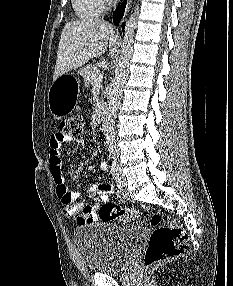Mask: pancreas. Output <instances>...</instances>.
Here are the masks:
<instances>
[{"instance_id": "pancreas-1", "label": "pancreas", "mask_w": 233, "mask_h": 286, "mask_svg": "<svg viewBox=\"0 0 233 286\" xmlns=\"http://www.w3.org/2000/svg\"><path fill=\"white\" fill-rule=\"evenodd\" d=\"M79 74L83 77L85 85L88 86L95 82L94 79L92 78V75L100 74V70L95 65L89 64L81 68L79 70Z\"/></svg>"}]
</instances>
